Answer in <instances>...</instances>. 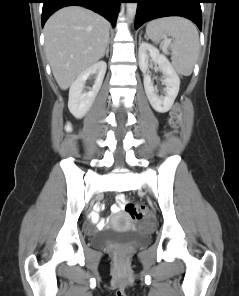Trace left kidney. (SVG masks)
<instances>
[{"mask_svg": "<svg viewBox=\"0 0 239 296\" xmlns=\"http://www.w3.org/2000/svg\"><path fill=\"white\" fill-rule=\"evenodd\" d=\"M139 67L143 73V83L147 98L152 108L159 113L168 112L179 92L180 78L172 65L159 50L153 45L143 42L139 46ZM149 59L158 64V68L164 75L163 83L166 86L165 96H159L158 90L153 86L150 75L148 74Z\"/></svg>", "mask_w": 239, "mask_h": 296, "instance_id": "left-kidney-1", "label": "left kidney"}]
</instances>
